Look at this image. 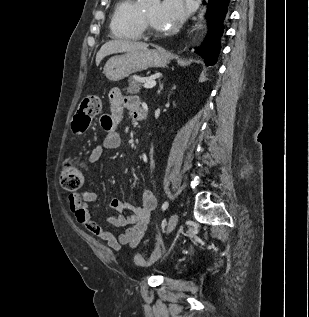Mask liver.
Returning a JSON list of instances; mask_svg holds the SVG:
<instances>
[{"label": "liver", "mask_w": 309, "mask_h": 317, "mask_svg": "<svg viewBox=\"0 0 309 317\" xmlns=\"http://www.w3.org/2000/svg\"><path fill=\"white\" fill-rule=\"evenodd\" d=\"M147 47L148 44L146 43L130 41L126 39H115L108 41L98 51L96 55V65L99 66L102 59L108 55L146 49Z\"/></svg>", "instance_id": "1"}]
</instances>
